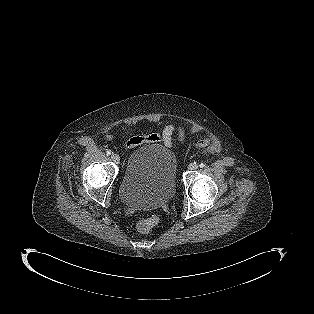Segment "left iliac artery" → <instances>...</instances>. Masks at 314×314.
Returning <instances> with one entry per match:
<instances>
[{
	"label": "left iliac artery",
	"mask_w": 314,
	"mask_h": 314,
	"mask_svg": "<svg viewBox=\"0 0 314 314\" xmlns=\"http://www.w3.org/2000/svg\"><path fill=\"white\" fill-rule=\"evenodd\" d=\"M199 166H200V168H204V167H205V164H204V163H201Z\"/></svg>",
	"instance_id": "44dca946"
}]
</instances>
